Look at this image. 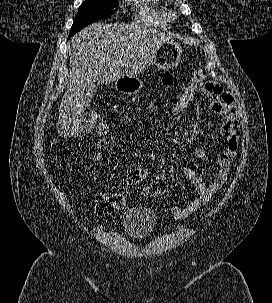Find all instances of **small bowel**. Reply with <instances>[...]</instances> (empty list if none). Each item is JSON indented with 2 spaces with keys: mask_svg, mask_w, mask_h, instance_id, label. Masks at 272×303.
<instances>
[{
  "mask_svg": "<svg viewBox=\"0 0 272 303\" xmlns=\"http://www.w3.org/2000/svg\"><path fill=\"white\" fill-rule=\"evenodd\" d=\"M162 81L171 84L174 77L164 74ZM198 92L201 96L210 101L209 108L212 113L224 116L225 120L221 127V134L226 139V146L217 160V172L214 179L207 183L202 175L189 167H183L182 173L194 186L198 196L182 206L169 207L167 211L176 219H184L203 207L210 198L217 193L225 183L230 170V162L237 154L238 148V115L233 104L231 95L222 91L221 87L213 82L206 81L199 85ZM196 156L201 160H208L209 157L202 147L195 148ZM138 156L149 161L156 160L153 152L138 151ZM148 177V171L141 166H135L127 171L125 181L130 186H136Z\"/></svg>",
  "mask_w": 272,
  "mask_h": 303,
  "instance_id": "1",
  "label": "small bowel"
}]
</instances>
